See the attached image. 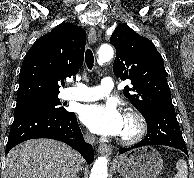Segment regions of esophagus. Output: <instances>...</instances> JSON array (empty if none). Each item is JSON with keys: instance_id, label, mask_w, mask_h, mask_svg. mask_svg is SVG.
<instances>
[{"instance_id": "34e87169", "label": "esophagus", "mask_w": 194, "mask_h": 178, "mask_svg": "<svg viewBox=\"0 0 194 178\" xmlns=\"http://www.w3.org/2000/svg\"><path fill=\"white\" fill-rule=\"evenodd\" d=\"M96 39H97L96 30L94 27H91L88 34L89 43L94 44L96 42ZM98 152L101 154H111L112 149L107 144H100L98 146Z\"/></svg>"}]
</instances>
